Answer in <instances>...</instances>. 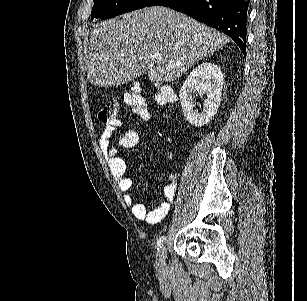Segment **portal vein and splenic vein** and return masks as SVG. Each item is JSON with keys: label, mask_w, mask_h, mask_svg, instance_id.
I'll list each match as a JSON object with an SVG mask.
<instances>
[{"label": "portal vein and splenic vein", "mask_w": 307, "mask_h": 301, "mask_svg": "<svg viewBox=\"0 0 307 301\" xmlns=\"http://www.w3.org/2000/svg\"><path fill=\"white\" fill-rule=\"evenodd\" d=\"M156 58H161V54H155ZM166 66H169V64H166Z\"/></svg>", "instance_id": "portal-vein-and-splenic-vein-1"}]
</instances>
